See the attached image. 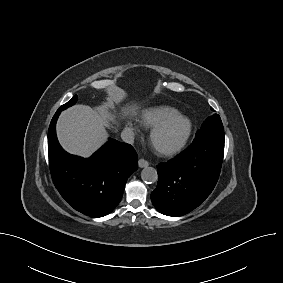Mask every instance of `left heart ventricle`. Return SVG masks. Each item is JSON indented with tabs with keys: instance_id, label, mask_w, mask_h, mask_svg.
Wrapping results in <instances>:
<instances>
[{
	"instance_id": "obj_1",
	"label": "left heart ventricle",
	"mask_w": 283,
	"mask_h": 283,
	"mask_svg": "<svg viewBox=\"0 0 283 283\" xmlns=\"http://www.w3.org/2000/svg\"><path fill=\"white\" fill-rule=\"evenodd\" d=\"M186 124L175 120L163 128L154 138V146L158 149L168 148L177 143L185 132Z\"/></svg>"
}]
</instances>
